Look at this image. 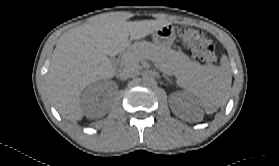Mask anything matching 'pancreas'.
<instances>
[{"label":"pancreas","mask_w":279,"mask_h":166,"mask_svg":"<svg viewBox=\"0 0 279 166\" xmlns=\"http://www.w3.org/2000/svg\"><path fill=\"white\" fill-rule=\"evenodd\" d=\"M144 59H154L158 62L160 69L169 75H183L198 66L182 52L170 48L159 47L150 42H137L123 56L122 64L127 68L138 69L140 62Z\"/></svg>","instance_id":"obj_1"}]
</instances>
